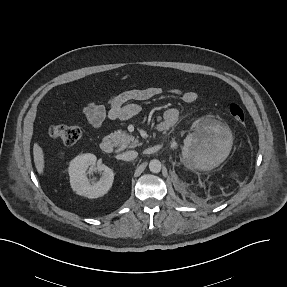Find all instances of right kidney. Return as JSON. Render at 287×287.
Masks as SVG:
<instances>
[{
	"instance_id": "1",
	"label": "right kidney",
	"mask_w": 287,
	"mask_h": 287,
	"mask_svg": "<svg viewBox=\"0 0 287 287\" xmlns=\"http://www.w3.org/2000/svg\"><path fill=\"white\" fill-rule=\"evenodd\" d=\"M97 158L94 154L78 155L70 162L68 168L70 185L78 195L87 198L104 196L111 188L114 180L112 169L105 165H96ZM89 169V172L87 170ZM93 171H101L102 175L97 181H89L88 174Z\"/></svg>"
}]
</instances>
